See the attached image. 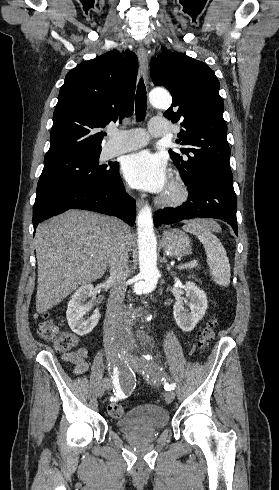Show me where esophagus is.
<instances>
[{
    "instance_id": "obj_1",
    "label": "esophagus",
    "mask_w": 279,
    "mask_h": 490,
    "mask_svg": "<svg viewBox=\"0 0 279 490\" xmlns=\"http://www.w3.org/2000/svg\"><path fill=\"white\" fill-rule=\"evenodd\" d=\"M137 56L140 64V69L143 74V78L145 83L148 85L149 84V76H148V54L143 45H139L137 49ZM145 204V201L143 199H137L136 205L137 208L140 209L143 207Z\"/></svg>"
}]
</instances>
